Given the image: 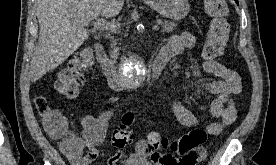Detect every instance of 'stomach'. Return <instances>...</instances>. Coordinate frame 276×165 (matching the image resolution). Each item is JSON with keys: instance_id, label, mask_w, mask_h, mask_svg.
Here are the masks:
<instances>
[{"instance_id": "1", "label": "stomach", "mask_w": 276, "mask_h": 165, "mask_svg": "<svg viewBox=\"0 0 276 165\" xmlns=\"http://www.w3.org/2000/svg\"><path fill=\"white\" fill-rule=\"evenodd\" d=\"M145 2L162 16L176 21L185 18L190 11L188 0H145Z\"/></svg>"}]
</instances>
